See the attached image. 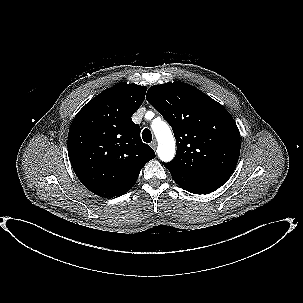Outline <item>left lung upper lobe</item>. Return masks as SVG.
I'll return each mask as SVG.
<instances>
[{
  "instance_id": "1",
  "label": "left lung upper lobe",
  "mask_w": 303,
  "mask_h": 303,
  "mask_svg": "<svg viewBox=\"0 0 303 303\" xmlns=\"http://www.w3.org/2000/svg\"><path fill=\"white\" fill-rule=\"evenodd\" d=\"M146 99L174 131L177 152L165 167L186 174L233 173L240 132L221 104L183 82L154 85Z\"/></svg>"
}]
</instances>
